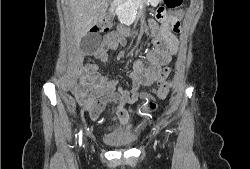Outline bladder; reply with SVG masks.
Listing matches in <instances>:
<instances>
[{"label": "bladder", "mask_w": 250, "mask_h": 169, "mask_svg": "<svg viewBox=\"0 0 250 169\" xmlns=\"http://www.w3.org/2000/svg\"><path fill=\"white\" fill-rule=\"evenodd\" d=\"M103 141H105V143H107L112 150H123L129 148L133 143H135L136 139L134 137L106 133L103 135Z\"/></svg>", "instance_id": "1"}]
</instances>
